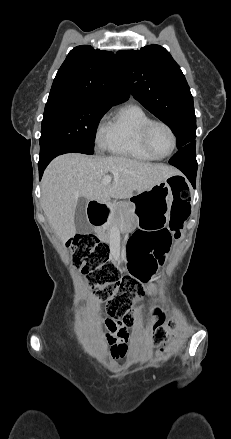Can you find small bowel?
Masks as SVG:
<instances>
[{"label": "small bowel", "mask_w": 231, "mask_h": 439, "mask_svg": "<svg viewBox=\"0 0 231 439\" xmlns=\"http://www.w3.org/2000/svg\"><path fill=\"white\" fill-rule=\"evenodd\" d=\"M137 234L143 236V240L135 248L133 242H128L127 250L131 259V266L137 263L145 265L153 274L159 264L163 263L170 251L172 241L178 236L170 227L164 226L157 229H140ZM135 235L131 237L134 238ZM107 329L106 340L110 345L113 358L121 359L127 355V341L129 333L124 323L110 318L104 319Z\"/></svg>", "instance_id": "obj_1"}]
</instances>
